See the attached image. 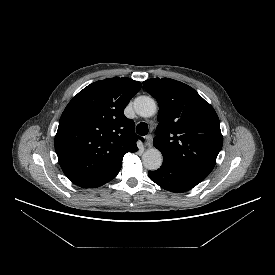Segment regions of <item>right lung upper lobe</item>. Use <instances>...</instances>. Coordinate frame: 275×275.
<instances>
[{"mask_svg": "<svg viewBox=\"0 0 275 275\" xmlns=\"http://www.w3.org/2000/svg\"><path fill=\"white\" fill-rule=\"evenodd\" d=\"M141 89L130 78H109L80 91L66 106L55 136V151L65 175L90 188L119 172L123 156L138 150L124 109Z\"/></svg>", "mask_w": 275, "mask_h": 275, "instance_id": "right-lung-upper-lobe-1", "label": "right lung upper lobe"}]
</instances>
